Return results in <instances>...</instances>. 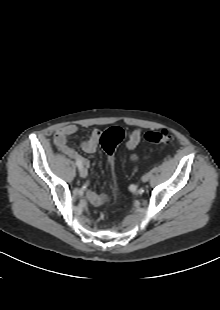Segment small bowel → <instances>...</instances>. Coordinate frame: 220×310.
<instances>
[{
	"instance_id": "obj_1",
	"label": "small bowel",
	"mask_w": 220,
	"mask_h": 310,
	"mask_svg": "<svg viewBox=\"0 0 220 310\" xmlns=\"http://www.w3.org/2000/svg\"><path fill=\"white\" fill-rule=\"evenodd\" d=\"M78 131V127L73 124L65 125L59 128L54 135L55 145L67 156L72 159L81 161L82 165L85 167L89 166V161L82 157L75 149L69 146L68 139L75 135ZM100 138V131L95 129L91 132L88 139L81 143V149L88 154L94 153L98 147ZM141 141V131L139 129H134L127 133L126 147L129 150H135ZM131 160L136 161L137 155L132 154ZM88 201L94 206H100L106 201V196L103 194H98L96 192H87Z\"/></svg>"
}]
</instances>
